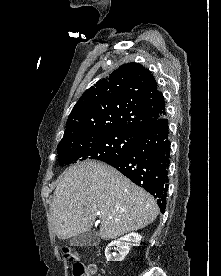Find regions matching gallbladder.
Here are the masks:
<instances>
[{"label": "gallbladder", "instance_id": "1", "mask_svg": "<svg viewBox=\"0 0 221 276\" xmlns=\"http://www.w3.org/2000/svg\"><path fill=\"white\" fill-rule=\"evenodd\" d=\"M99 243V237L95 231H87L70 239L72 246H95Z\"/></svg>", "mask_w": 221, "mask_h": 276}]
</instances>
